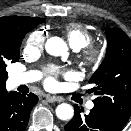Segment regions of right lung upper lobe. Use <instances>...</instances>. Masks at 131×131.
Here are the masks:
<instances>
[{
    "mask_svg": "<svg viewBox=\"0 0 131 131\" xmlns=\"http://www.w3.org/2000/svg\"><path fill=\"white\" fill-rule=\"evenodd\" d=\"M43 18H34L26 16H7L0 18V51L5 50L10 44V34L12 30L20 23L27 20H42ZM5 79L0 78V94L7 92L5 88Z\"/></svg>",
    "mask_w": 131,
    "mask_h": 131,
    "instance_id": "1",
    "label": "right lung upper lobe"
}]
</instances>
